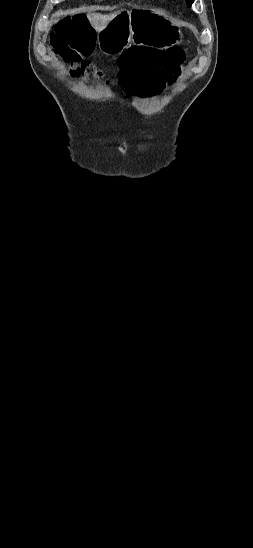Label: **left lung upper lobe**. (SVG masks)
<instances>
[{
    "instance_id": "obj_1",
    "label": "left lung upper lobe",
    "mask_w": 253,
    "mask_h": 548,
    "mask_svg": "<svg viewBox=\"0 0 253 548\" xmlns=\"http://www.w3.org/2000/svg\"><path fill=\"white\" fill-rule=\"evenodd\" d=\"M186 3H187L188 6H191L192 3H193V0H186Z\"/></svg>"
}]
</instances>
